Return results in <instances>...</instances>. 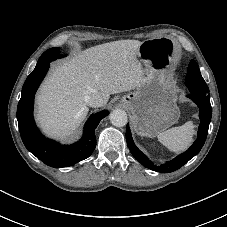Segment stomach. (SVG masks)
<instances>
[{
    "label": "stomach",
    "instance_id": "stomach-1",
    "mask_svg": "<svg viewBox=\"0 0 227 227\" xmlns=\"http://www.w3.org/2000/svg\"><path fill=\"white\" fill-rule=\"evenodd\" d=\"M175 58L173 45L160 39L142 42L138 59L145 66L146 80L121 102L131 111L135 131L146 137H155L180 116L177 95L168 80V72Z\"/></svg>",
    "mask_w": 227,
    "mask_h": 227
}]
</instances>
